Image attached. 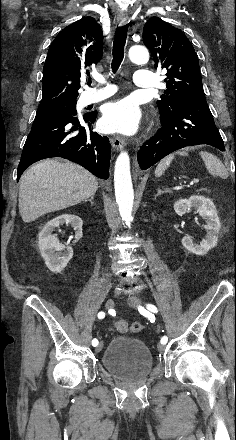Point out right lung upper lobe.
<instances>
[{
    "instance_id": "cb5924a9",
    "label": "right lung upper lobe",
    "mask_w": 236,
    "mask_h": 440,
    "mask_svg": "<svg viewBox=\"0 0 236 440\" xmlns=\"http://www.w3.org/2000/svg\"><path fill=\"white\" fill-rule=\"evenodd\" d=\"M102 49V29L93 17H83L60 31L43 67L39 107L75 102L81 77L101 60Z\"/></svg>"
}]
</instances>
